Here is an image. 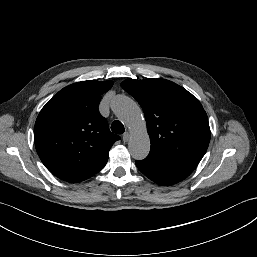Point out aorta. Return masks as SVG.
I'll return each instance as SVG.
<instances>
[{
    "mask_svg": "<svg viewBox=\"0 0 257 257\" xmlns=\"http://www.w3.org/2000/svg\"><path fill=\"white\" fill-rule=\"evenodd\" d=\"M112 109L132 131L128 144L131 156L136 160L146 158L150 151V139L140 107L129 97L117 96L112 102Z\"/></svg>",
    "mask_w": 257,
    "mask_h": 257,
    "instance_id": "762f6f07",
    "label": "aorta"
}]
</instances>
